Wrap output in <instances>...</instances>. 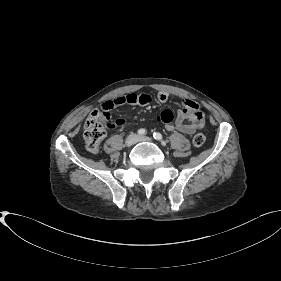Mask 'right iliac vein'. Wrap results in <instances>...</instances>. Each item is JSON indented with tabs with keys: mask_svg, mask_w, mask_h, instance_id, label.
<instances>
[{
	"mask_svg": "<svg viewBox=\"0 0 281 281\" xmlns=\"http://www.w3.org/2000/svg\"><path fill=\"white\" fill-rule=\"evenodd\" d=\"M137 142V136L134 134H131L127 137L126 141H125V145L127 147H131L133 146L135 143Z\"/></svg>",
	"mask_w": 281,
	"mask_h": 281,
	"instance_id": "obj_1",
	"label": "right iliac vein"
}]
</instances>
